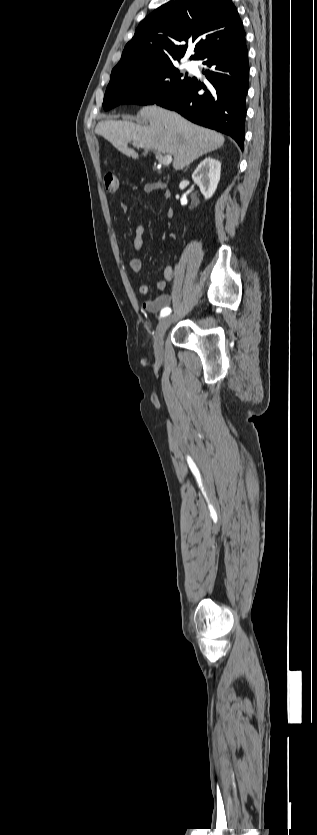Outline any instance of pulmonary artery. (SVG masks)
<instances>
[{
  "label": "pulmonary artery",
  "mask_w": 317,
  "mask_h": 835,
  "mask_svg": "<svg viewBox=\"0 0 317 835\" xmlns=\"http://www.w3.org/2000/svg\"><path fill=\"white\" fill-rule=\"evenodd\" d=\"M186 67L187 69L192 70L195 68V63L190 61L187 63Z\"/></svg>",
  "instance_id": "e3ab8cb5"
}]
</instances>
